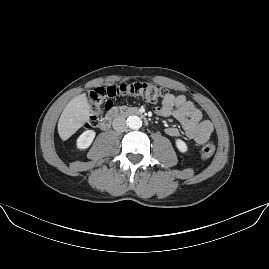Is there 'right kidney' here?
<instances>
[{
  "instance_id": "1",
  "label": "right kidney",
  "mask_w": 269,
  "mask_h": 269,
  "mask_svg": "<svg viewBox=\"0 0 269 269\" xmlns=\"http://www.w3.org/2000/svg\"><path fill=\"white\" fill-rule=\"evenodd\" d=\"M95 132L93 130H87L83 132L77 139V148L79 149H86L88 148L93 139L95 138Z\"/></svg>"
}]
</instances>
